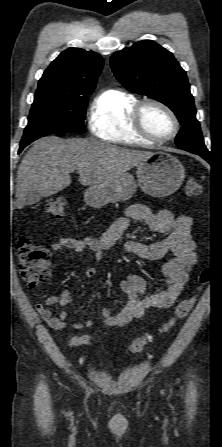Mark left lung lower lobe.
Wrapping results in <instances>:
<instances>
[{
    "label": "left lung lower lobe",
    "instance_id": "0a47b994",
    "mask_svg": "<svg viewBox=\"0 0 222 447\" xmlns=\"http://www.w3.org/2000/svg\"><path fill=\"white\" fill-rule=\"evenodd\" d=\"M189 152L197 154V155L201 156L202 158H204L207 161L209 160V153L205 154V153H198V152H194V151H189Z\"/></svg>",
    "mask_w": 222,
    "mask_h": 447
}]
</instances>
